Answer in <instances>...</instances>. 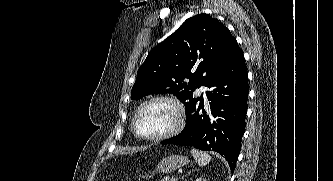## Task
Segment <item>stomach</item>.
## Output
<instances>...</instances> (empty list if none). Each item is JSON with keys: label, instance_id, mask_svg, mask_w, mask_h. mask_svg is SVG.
<instances>
[{"label": "stomach", "instance_id": "1", "mask_svg": "<svg viewBox=\"0 0 333 181\" xmlns=\"http://www.w3.org/2000/svg\"><path fill=\"white\" fill-rule=\"evenodd\" d=\"M188 163V159L182 155H173L163 158L151 174L170 173Z\"/></svg>", "mask_w": 333, "mask_h": 181}]
</instances>
